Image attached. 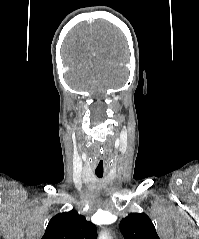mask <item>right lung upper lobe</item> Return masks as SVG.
Wrapping results in <instances>:
<instances>
[{"instance_id":"right-lung-upper-lobe-1","label":"right lung upper lobe","mask_w":199,"mask_h":239,"mask_svg":"<svg viewBox=\"0 0 199 239\" xmlns=\"http://www.w3.org/2000/svg\"><path fill=\"white\" fill-rule=\"evenodd\" d=\"M96 237L95 225L72 210L54 216L41 239H96Z\"/></svg>"}]
</instances>
